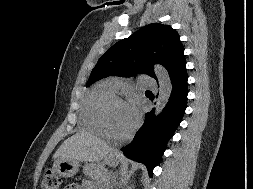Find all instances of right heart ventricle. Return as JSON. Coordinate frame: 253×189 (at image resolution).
I'll return each mask as SVG.
<instances>
[{
    "instance_id": "e07e8e85",
    "label": "right heart ventricle",
    "mask_w": 253,
    "mask_h": 189,
    "mask_svg": "<svg viewBox=\"0 0 253 189\" xmlns=\"http://www.w3.org/2000/svg\"><path fill=\"white\" fill-rule=\"evenodd\" d=\"M115 95L107 82L97 84L87 95L81 107V123L83 127L92 133L103 135L100 123V109L108 98Z\"/></svg>"
}]
</instances>
